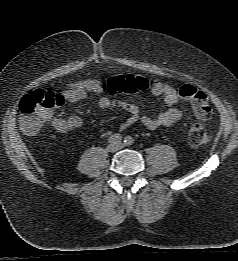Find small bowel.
I'll return each instance as SVG.
<instances>
[{
  "instance_id": "small-bowel-1",
  "label": "small bowel",
  "mask_w": 238,
  "mask_h": 261,
  "mask_svg": "<svg viewBox=\"0 0 238 261\" xmlns=\"http://www.w3.org/2000/svg\"><path fill=\"white\" fill-rule=\"evenodd\" d=\"M151 92L164 102V108L155 117L143 115L139 107L133 102L124 99H113L104 92L103 83L97 79H83L68 83L58 95L63 102H78L89 95H98L97 105L99 108H118L128 114L120 126L122 130L129 128L137 122L142 123L148 129H155L161 126L169 127L177 124L182 118V111L177 108L181 101L177 90L169 84L154 80L151 84ZM47 121L60 132H68L84 126V120L77 115L61 118L49 112Z\"/></svg>"
}]
</instances>
